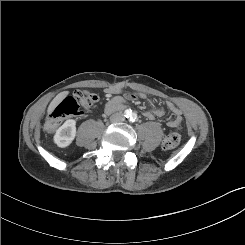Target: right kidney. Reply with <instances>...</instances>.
Instances as JSON below:
<instances>
[{
  "label": "right kidney",
  "mask_w": 245,
  "mask_h": 245,
  "mask_svg": "<svg viewBox=\"0 0 245 245\" xmlns=\"http://www.w3.org/2000/svg\"><path fill=\"white\" fill-rule=\"evenodd\" d=\"M75 136L76 121L69 119L56 130L53 140L58 147L65 148L72 143Z\"/></svg>",
  "instance_id": "1"
}]
</instances>
